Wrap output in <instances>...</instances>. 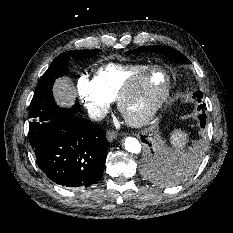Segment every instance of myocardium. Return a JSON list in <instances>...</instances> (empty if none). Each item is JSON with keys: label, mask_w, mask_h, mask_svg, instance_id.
Wrapping results in <instances>:
<instances>
[{"label": "myocardium", "mask_w": 233, "mask_h": 233, "mask_svg": "<svg viewBox=\"0 0 233 233\" xmlns=\"http://www.w3.org/2000/svg\"><path fill=\"white\" fill-rule=\"evenodd\" d=\"M157 75H162L164 77V84L157 96L143 111L135 115L129 114L127 112V105L130 99L138 92L149 87L154 77ZM171 85V77L166 70L162 68H150L144 74L123 86L116 98L117 109L129 125L141 127L150 122L165 104L170 96Z\"/></svg>", "instance_id": "1"}]
</instances>
